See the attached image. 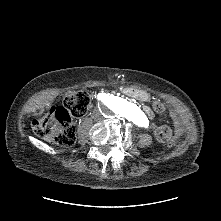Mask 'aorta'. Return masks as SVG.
I'll return each instance as SVG.
<instances>
[{"label": "aorta", "instance_id": "762f6f07", "mask_svg": "<svg viewBox=\"0 0 221 221\" xmlns=\"http://www.w3.org/2000/svg\"><path fill=\"white\" fill-rule=\"evenodd\" d=\"M110 108L109 111L111 114L115 112L137 126H144L147 124L144 112L138 106L128 101L114 99L111 102Z\"/></svg>", "mask_w": 221, "mask_h": 221}]
</instances>
